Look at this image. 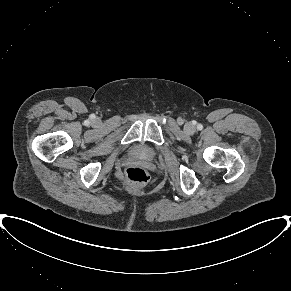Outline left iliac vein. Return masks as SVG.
<instances>
[{"mask_svg":"<svg viewBox=\"0 0 291 291\" xmlns=\"http://www.w3.org/2000/svg\"><path fill=\"white\" fill-rule=\"evenodd\" d=\"M185 131L189 134L193 133L195 131V127L191 123H187L185 125Z\"/></svg>","mask_w":291,"mask_h":291,"instance_id":"4c4485c4","label":"left iliac vein"}]
</instances>
